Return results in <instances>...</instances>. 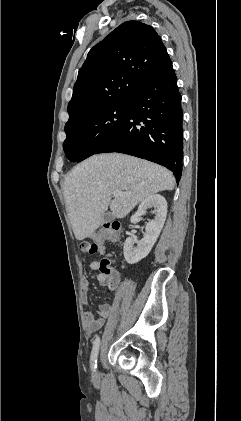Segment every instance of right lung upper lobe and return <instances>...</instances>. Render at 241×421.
<instances>
[{"mask_svg":"<svg viewBox=\"0 0 241 421\" xmlns=\"http://www.w3.org/2000/svg\"><path fill=\"white\" fill-rule=\"evenodd\" d=\"M168 57L153 27L139 21L118 26L89 51L79 69L65 127L107 106L128 101Z\"/></svg>","mask_w":241,"mask_h":421,"instance_id":"right-lung-upper-lobe-1","label":"right lung upper lobe"}]
</instances>
